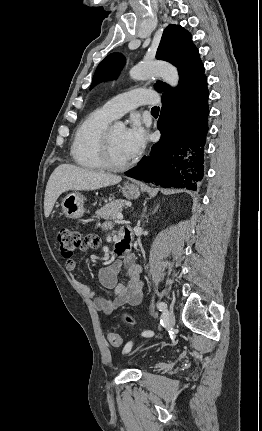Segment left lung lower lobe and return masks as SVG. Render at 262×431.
Segmentation results:
<instances>
[{
    "mask_svg": "<svg viewBox=\"0 0 262 431\" xmlns=\"http://www.w3.org/2000/svg\"><path fill=\"white\" fill-rule=\"evenodd\" d=\"M208 96L206 78L186 90L162 95L157 123L161 139L125 175L164 188L197 190L204 173Z\"/></svg>",
    "mask_w": 262,
    "mask_h": 431,
    "instance_id": "left-lung-lower-lobe-1",
    "label": "left lung lower lobe"
}]
</instances>
